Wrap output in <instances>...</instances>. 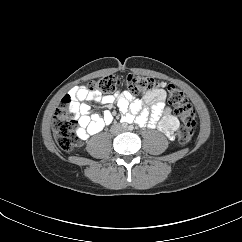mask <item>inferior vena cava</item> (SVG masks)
Segmentation results:
<instances>
[{"label": "inferior vena cava", "instance_id": "602c4592", "mask_svg": "<svg viewBox=\"0 0 242 242\" xmlns=\"http://www.w3.org/2000/svg\"><path fill=\"white\" fill-rule=\"evenodd\" d=\"M117 128L119 129V131H122V127L121 126H117Z\"/></svg>", "mask_w": 242, "mask_h": 242}]
</instances>
